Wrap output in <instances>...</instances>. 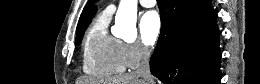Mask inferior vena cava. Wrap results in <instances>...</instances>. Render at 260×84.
<instances>
[{
	"label": "inferior vena cava",
	"mask_w": 260,
	"mask_h": 84,
	"mask_svg": "<svg viewBox=\"0 0 260 84\" xmlns=\"http://www.w3.org/2000/svg\"><path fill=\"white\" fill-rule=\"evenodd\" d=\"M149 58H150L149 51L143 49L141 51V63L135 73L139 77H142L145 81H147L148 84H155L154 79L150 72Z\"/></svg>",
	"instance_id": "inferior-vena-cava-1"
}]
</instances>
